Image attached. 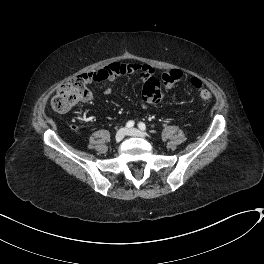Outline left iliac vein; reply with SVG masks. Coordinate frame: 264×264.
<instances>
[{"label": "left iliac vein", "mask_w": 264, "mask_h": 264, "mask_svg": "<svg viewBox=\"0 0 264 264\" xmlns=\"http://www.w3.org/2000/svg\"><path fill=\"white\" fill-rule=\"evenodd\" d=\"M127 134L130 136H135V137H141V138H145L146 137V133L143 131H140L136 128H131L127 131Z\"/></svg>", "instance_id": "1"}]
</instances>
